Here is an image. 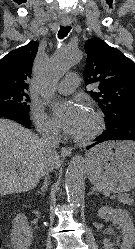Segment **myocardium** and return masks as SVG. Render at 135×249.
<instances>
[{
	"label": "myocardium",
	"instance_id": "f54148a6",
	"mask_svg": "<svg viewBox=\"0 0 135 249\" xmlns=\"http://www.w3.org/2000/svg\"><path fill=\"white\" fill-rule=\"evenodd\" d=\"M89 112L93 116V120H94L93 128L87 135L83 137H76L75 140L81 144L92 141L97 136H99L104 129V119H103L102 114L93 107L89 108Z\"/></svg>",
	"mask_w": 135,
	"mask_h": 249
}]
</instances>
